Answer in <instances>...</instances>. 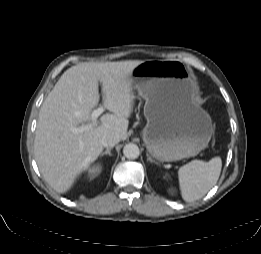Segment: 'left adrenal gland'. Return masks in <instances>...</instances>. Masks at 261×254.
Listing matches in <instances>:
<instances>
[{"label": "left adrenal gland", "mask_w": 261, "mask_h": 254, "mask_svg": "<svg viewBox=\"0 0 261 254\" xmlns=\"http://www.w3.org/2000/svg\"><path fill=\"white\" fill-rule=\"evenodd\" d=\"M147 160H148L150 163H156V162L149 156L148 153H147Z\"/></svg>", "instance_id": "obj_1"}]
</instances>
